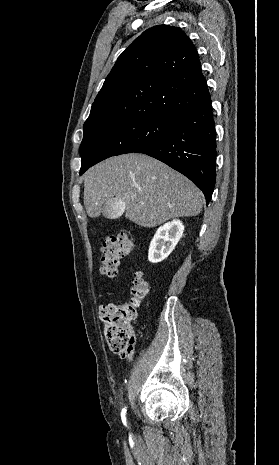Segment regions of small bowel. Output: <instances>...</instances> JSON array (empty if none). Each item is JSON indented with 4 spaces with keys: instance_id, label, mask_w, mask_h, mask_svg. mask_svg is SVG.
Listing matches in <instances>:
<instances>
[{
    "instance_id": "obj_1",
    "label": "small bowel",
    "mask_w": 279,
    "mask_h": 465,
    "mask_svg": "<svg viewBox=\"0 0 279 465\" xmlns=\"http://www.w3.org/2000/svg\"><path fill=\"white\" fill-rule=\"evenodd\" d=\"M124 358L129 361L131 359V353L130 354H127V355H124Z\"/></svg>"
}]
</instances>
